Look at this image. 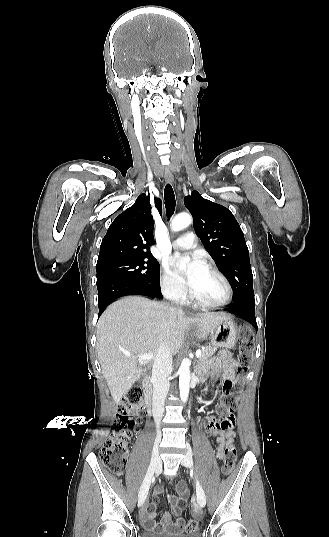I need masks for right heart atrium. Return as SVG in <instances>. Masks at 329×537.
I'll return each mask as SVG.
<instances>
[{"instance_id": "right-heart-atrium-1", "label": "right heart atrium", "mask_w": 329, "mask_h": 537, "mask_svg": "<svg viewBox=\"0 0 329 537\" xmlns=\"http://www.w3.org/2000/svg\"><path fill=\"white\" fill-rule=\"evenodd\" d=\"M160 287L163 294L174 301H182L186 295V289L180 278L167 265H163Z\"/></svg>"}]
</instances>
